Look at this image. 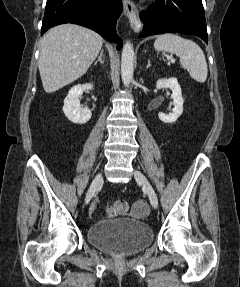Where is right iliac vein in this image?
Masks as SVG:
<instances>
[{
  "instance_id": "1",
  "label": "right iliac vein",
  "mask_w": 240,
  "mask_h": 287,
  "mask_svg": "<svg viewBox=\"0 0 240 287\" xmlns=\"http://www.w3.org/2000/svg\"><path fill=\"white\" fill-rule=\"evenodd\" d=\"M103 182V177H102V174L99 173L95 178L94 180L92 181L88 191H87V194H86V197H85V203L88 204L90 202V200L92 199V197L94 196L95 192L97 191L99 185Z\"/></svg>"
}]
</instances>
